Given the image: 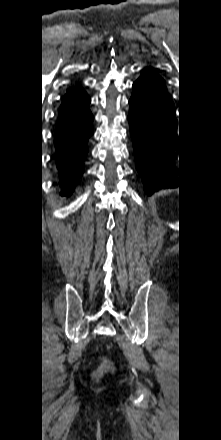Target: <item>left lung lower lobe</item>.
<instances>
[{"instance_id":"obj_1","label":"left lung lower lobe","mask_w":221,"mask_h":440,"mask_svg":"<svg viewBox=\"0 0 221 440\" xmlns=\"http://www.w3.org/2000/svg\"><path fill=\"white\" fill-rule=\"evenodd\" d=\"M128 115L136 168L149 195L177 184L171 157L178 148L175 107L164 80L151 68L133 84ZM180 148V145H179Z\"/></svg>"}]
</instances>
